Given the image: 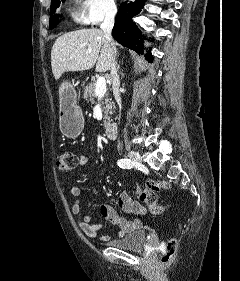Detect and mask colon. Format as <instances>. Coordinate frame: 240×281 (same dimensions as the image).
<instances>
[{
	"mask_svg": "<svg viewBox=\"0 0 240 281\" xmlns=\"http://www.w3.org/2000/svg\"><path fill=\"white\" fill-rule=\"evenodd\" d=\"M78 166V157L71 150L62 151L57 159V167L60 171L68 172ZM169 188L165 181L148 180L144 187L138 189L140 201L144 202L152 215H161L165 208L158 203V193ZM177 240L172 238L160 247L161 261L167 263L175 255Z\"/></svg>",
	"mask_w": 240,
	"mask_h": 281,
	"instance_id": "obj_1",
	"label": "colon"
}]
</instances>
